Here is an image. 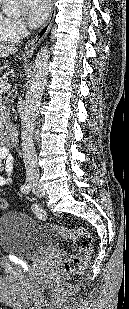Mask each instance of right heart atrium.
Segmentation results:
<instances>
[{"label": "right heart atrium", "instance_id": "obj_1", "mask_svg": "<svg viewBox=\"0 0 129 309\" xmlns=\"http://www.w3.org/2000/svg\"><path fill=\"white\" fill-rule=\"evenodd\" d=\"M10 32L14 39L19 40L27 34V29L20 20L10 19Z\"/></svg>", "mask_w": 129, "mask_h": 309}]
</instances>
